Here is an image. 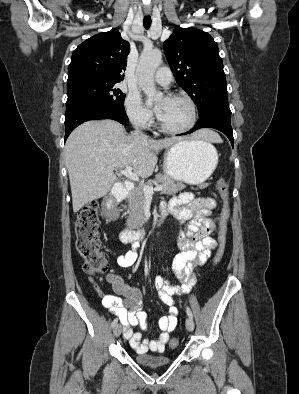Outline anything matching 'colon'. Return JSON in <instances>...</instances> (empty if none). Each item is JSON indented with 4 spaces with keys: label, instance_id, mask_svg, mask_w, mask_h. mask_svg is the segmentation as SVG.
<instances>
[{
    "label": "colon",
    "instance_id": "5ec220e1",
    "mask_svg": "<svg viewBox=\"0 0 299 394\" xmlns=\"http://www.w3.org/2000/svg\"><path fill=\"white\" fill-rule=\"evenodd\" d=\"M217 189L222 200L219 216L218 248L214 263L218 264L223 258L226 247L227 220L230 214L229 188L226 181L220 178ZM76 249L83 259V270L89 275H104L107 272L108 259L105 252L100 249V227L98 218V204L96 201L88 202L78 213L75 222ZM171 347L177 341L170 343Z\"/></svg>",
    "mask_w": 299,
    "mask_h": 394
}]
</instances>
